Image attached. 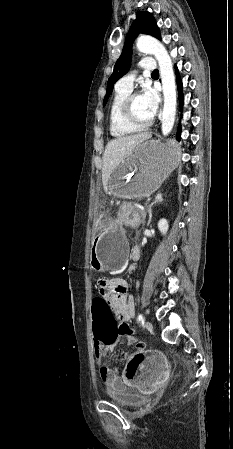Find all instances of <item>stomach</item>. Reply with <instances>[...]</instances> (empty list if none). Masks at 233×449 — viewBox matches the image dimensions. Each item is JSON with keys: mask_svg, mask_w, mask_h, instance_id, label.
Segmentation results:
<instances>
[{"mask_svg": "<svg viewBox=\"0 0 233 449\" xmlns=\"http://www.w3.org/2000/svg\"><path fill=\"white\" fill-rule=\"evenodd\" d=\"M180 151L174 141L140 143L114 170L109 194L116 198H144L153 194L179 163ZM98 221H109V212H98ZM102 232L92 243L91 268L98 272L120 269L128 253V241L120 225L97 223Z\"/></svg>", "mask_w": 233, "mask_h": 449, "instance_id": "1", "label": "stomach"}]
</instances>
